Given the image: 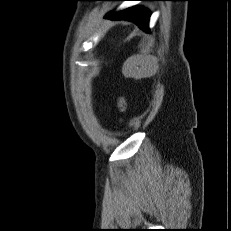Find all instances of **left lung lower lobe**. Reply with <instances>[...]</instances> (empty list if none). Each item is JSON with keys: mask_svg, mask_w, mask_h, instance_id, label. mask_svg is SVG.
<instances>
[{"mask_svg": "<svg viewBox=\"0 0 231 231\" xmlns=\"http://www.w3.org/2000/svg\"><path fill=\"white\" fill-rule=\"evenodd\" d=\"M107 1H126V0H107ZM139 1H153V0H139ZM106 17L115 20H121V19L129 20L136 23L141 29L147 32L149 31L148 21H149L150 13L142 7L128 8L127 10L122 11L115 16L111 17V14H108Z\"/></svg>", "mask_w": 231, "mask_h": 231, "instance_id": "0a47b994", "label": "left lung lower lobe"}]
</instances>
